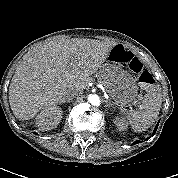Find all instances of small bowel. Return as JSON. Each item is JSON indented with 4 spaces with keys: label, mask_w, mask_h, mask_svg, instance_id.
<instances>
[{
    "label": "small bowel",
    "mask_w": 178,
    "mask_h": 178,
    "mask_svg": "<svg viewBox=\"0 0 178 178\" xmlns=\"http://www.w3.org/2000/svg\"><path fill=\"white\" fill-rule=\"evenodd\" d=\"M121 50H122V56H121L120 59L124 60L127 57L128 53H129V50L124 48V47H122Z\"/></svg>",
    "instance_id": "small-bowel-1"
}]
</instances>
